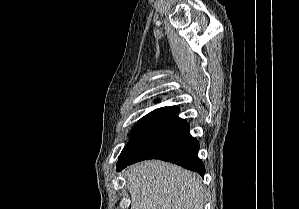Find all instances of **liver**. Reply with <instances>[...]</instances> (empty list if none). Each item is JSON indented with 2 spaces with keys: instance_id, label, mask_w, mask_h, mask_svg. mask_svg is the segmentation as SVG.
<instances>
[{
  "instance_id": "obj_1",
  "label": "liver",
  "mask_w": 299,
  "mask_h": 209,
  "mask_svg": "<svg viewBox=\"0 0 299 209\" xmlns=\"http://www.w3.org/2000/svg\"><path fill=\"white\" fill-rule=\"evenodd\" d=\"M130 209H203L201 177L179 166L151 160L125 171Z\"/></svg>"
}]
</instances>
